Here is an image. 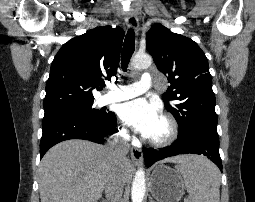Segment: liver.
<instances>
[{"label":"liver","mask_w":255,"mask_h":202,"mask_svg":"<svg viewBox=\"0 0 255 202\" xmlns=\"http://www.w3.org/2000/svg\"><path fill=\"white\" fill-rule=\"evenodd\" d=\"M189 156H176L165 162L182 163ZM116 164L106 146L72 139L53 146L39 166L41 202H97ZM124 183L131 178L129 160L122 167Z\"/></svg>","instance_id":"6515ba94"}]
</instances>
